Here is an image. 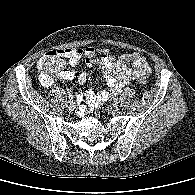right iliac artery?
Returning <instances> with one entry per match:
<instances>
[{
    "mask_svg": "<svg viewBox=\"0 0 195 195\" xmlns=\"http://www.w3.org/2000/svg\"><path fill=\"white\" fill-rule=\"evenodd\" d=\"M68 98L71 100V99H73L74 97H73L72 94H70V95L68 96Z\"/></svg>",
    "mask_w": 195,
    "mask_h": 195,
    "instance_id": "82829eb1",
    "label": "right iliac artery"
}]
</instances>
